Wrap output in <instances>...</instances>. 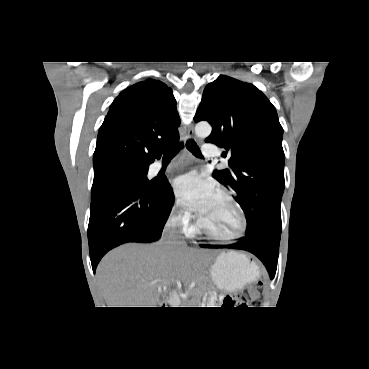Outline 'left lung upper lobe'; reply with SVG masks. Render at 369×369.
Here are the masks:
<instances>
[{
	"label": "left lung upper lobe",
	"instance_id": "5c2ea615",
	"mask_svg": "<svg viewBox=\"0 0 369 369\" xmlns=\"http://www.w3.org/2000/svg\"><path fill=\"white\" fill-rule=\"evenodd\" d=\"M212 132L206 142L225 149L229 169L212 176L235 193L246 214V236L281 233L283 129L268 98L254 85L220 75L209 83L194 117Z\"/></svg>",
	"mask_w": 369,
	"mask_h": 369
}]
</instances>
